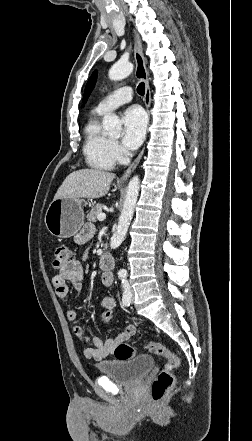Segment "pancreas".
<instances>
[{
  "instance_id": "obj_1",
  "label": "pancreas",
  "mask_w": 252,
  "mask_h": 441,
  "mask_svg": "<svg viewBox=\"0 0 252 441\" xmlns=\"http://www.w3.org/2000/svg\"><path fill=\"white\" fill-rule=\"evenodd\" d=\"M102 213V205L101 204H97L91 211L90 213L87 215V220L88 221H92V222H96V218L98 216V214Z\"/></svg>"
}]
</instances>
